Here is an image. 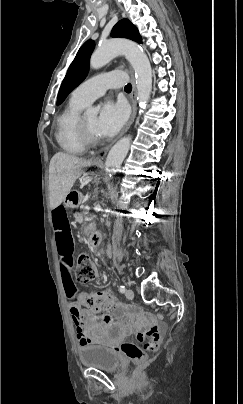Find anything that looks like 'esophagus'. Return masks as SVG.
<instances>
[{
  "mask_svg": "<svg viewBox=\"0 0 243 404\" xmlns=\"http://www.w3.org/2000/svg\"><path fill=\"white\" fill-rule=\"evenodd\" d=\"M130 75H131V80H132V92L130 95L131 105H132V114H131L129 122L127 123V125L125 126V128L123 129L121 134L118 136V138H120L122 135H124L127 132V130H129L130 126L134 122V119L136 117V112H137V89H136V81H135V77H134V72L132 69H130ZM112 144H113V142L109 145H106V147H104L105 153L109 150V148L112 146ZM94 163L95 164L102 163L101 158H95Z\"/></svg>",
  "mask_w": 243,
  "mask_h": 404,
  "instance_id": "34e87169",
  "label": "esophagus"
}]
</instances>
